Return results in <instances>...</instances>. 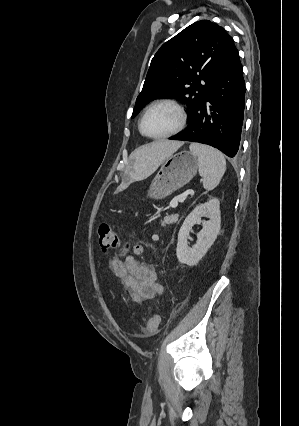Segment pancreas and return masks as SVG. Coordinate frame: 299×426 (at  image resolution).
Segmentation results:
<instances>
[{
    "mask_svg": "<svg viewBox=\"0 0 299 426\" xmlns=\"http://www.w3.org/2000/svg\"><path fill=\"white\" fill-rule=\"evenodd\" d=\"M177 222V218L175 216H167L162 221V226L170 225Z\"/></svg>",
    "mask_w": 299,
    "mask_h": 426,
    "instance_id": "1",
    "label": "pancreas"
}]
</instances>
